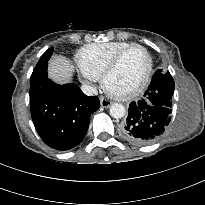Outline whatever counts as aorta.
Wrapping results in <instances>:
<instances>
[{
    "label": "aorta",
    "instance_id": "1",
    "mask_svg": "<svg viewBox=\"0 0 205 205\" xmlns=\"http://www.w3.org/2000/svg\"><path fill=\"white\" fill-rule=\"evenodd\" d=\"M125 113H126L125 107L120 103H113L110 106V115L113 118L116 119L122 118L124 117Z\"/></svg>",
    "mask_w": 205,
    "mask_h": 205
}]
</instances>
